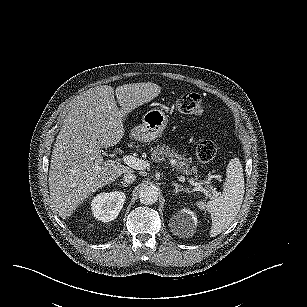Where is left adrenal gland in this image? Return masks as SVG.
<instances>
[{"instance_id":"a2214340","label":"left adrenal gland","mask_w":307,"mask_h":307,"mask_svg":"<svg viewBox=\"0 0 307 307\" xmlns=\"http://www.w3.org/2000/svg\"><path fill=\"white\" fill-rule=\"evenodd\" d=\"M172 186H174L175 187V189H174V193L175 194H177V193H179V192H188V189H186V188H184L182 185H180V184H178V183H175V182H173L172 183Z\"/></svg>"}]
</instances>
